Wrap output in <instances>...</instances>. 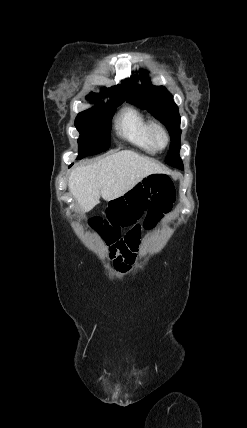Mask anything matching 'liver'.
I'll use <instances>...</instances> for the list:
<instances>
[{
    "instance_id": "liver-1",
    "label": "liver",
    "mask_w": 247,
    "mask_h": 428,
    "mask_svg": "<svg viewBox=\"0 0 247 428\" xmlns=\"http://www.w3.org/2000/svg\"><path fill=\"white\" fill-rule=\"evenodd\" d=\"M166 172L149 158L122 150L72 170L68 187L84 212L99 204L101 196L112 201L133 189L143 178Z\"/></svg>"
}]
</instances>
